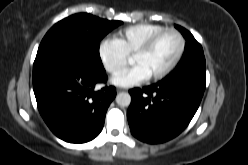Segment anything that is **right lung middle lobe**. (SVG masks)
Listing matches in <instances>:
<instances>
[{"label": "right lung middle lobe", "instance_id": "1", "mask_svg": "<svg viewBox=\"0 0 248 165\" xmlns=\"http://www.w3.org/2000/svg\"><path fill=\"white\" fill-rule=\"evenodd\" d=\"M122 21H108L87 13H78L56 23L44 36L37 56L52 50L75 48L83 51L91 63L104 69L100 55V40Z\"/></svg>", "mask_w": 248, "mask_h": 165}]
</instances>
